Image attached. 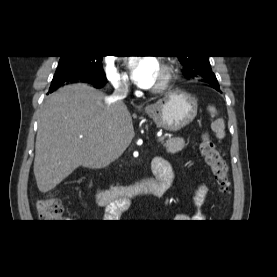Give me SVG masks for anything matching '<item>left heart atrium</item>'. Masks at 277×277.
<instances>
[{
    "instance_id": "left-heart-atrium-1",
    "label": "left heart atrium",
    "mask_w": 277,
    "mask_h": 277,
    "mask_svg": "<svg viewBox=\"0 0 277 277\" xmlns=\"http://www.w3.org/2000/svg\"><path fill=\"white\" fill-rule=\"evenodd\" d=\"M132 77L135 83L142 88H150L154 85L159 64L152 57L139 58L131 63Z\"/></svg>"
}]
</instances>
